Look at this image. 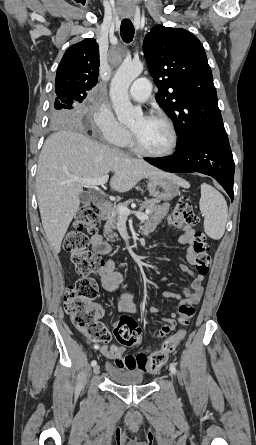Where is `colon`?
I'll list each match as a JSON object with an SVG mask.
<instances>
[{"label":"colon","instance_id":"obj_1","mask_svg":"<svg viewBox=\"0 0 256 445\" xmlns=\"http://www.w3.org/2000/svg\"><path fill=\"white\" fill-rule=\"evenodd\" d=\"M198 218L194 213L191 201L180 198L171 216V225L176 229L194 226ZM100 224V207L96 202H87L80 208L74 227L63 241V250L70 254L71 261L80 278L69 286L64 294V308L70 316L73 327L90 341L96 344H107L110 333L103 323L98 320L99 309L94 304L98 295V287L90 275L98 272L104 262L100 255L87 250V233H93ZM212 257L205 236L197 232L193 241V260L198 273L207 274ZM195 315L193 306H184L180 310V322L187 325ZM115 336L123 346L140 345L142 329L137 321L130 316H122L116 327ZM180 336L177 333L165 341L163 346L154 351L149 358L148 371L156 373L168 361L169 354L175 349ZM115 360H122L123 354L116 347H112Z\"/></svg>","mask_w":256,"mask_h":445}]
</instances>
